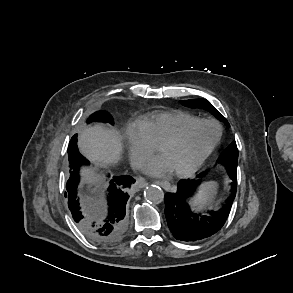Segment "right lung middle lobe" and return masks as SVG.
<instances>
[{
  "instance_id": "dd1d6c3e",
  "label": "right lung middle lobe",
  "mask_w": 293,
  "mask_h": 293,
  "mask_svg": "<svg viewBox=\"0 0 293 293\" xmlns=\"http://www.w3.org/2000/svg\"><path fill=\"white\" fill-rule=\"evenodd\" d=\"M92 121H98V122H112V118L109 114L103 112V111H97L94 114L90 116L89 119H87V123H90Z\"/></svg>"
}]
</instances>
